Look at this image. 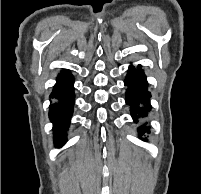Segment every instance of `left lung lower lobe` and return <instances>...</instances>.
Segmentation results:
<instances>
[{
  "label": "left lung lower lobe",
  "instance_id": "1",
  "mask_svg": "<svg viewBox=\"0 0 201 194\" xmlns=\"http://www.w3.org/2000/svg\"><path fill=\"white\" fill-rule=\"evenodd\" d=\"M124 84L128 86L125 98L126 104L130 106L132 118L137 123L138 118L146 117L152 108L149 105L151 94L148 91L147 78L140 65L137 68L132 65L129 66ZM149 129V126L142 125L138 129L139 135L142 136L145 132H149ZM141 139L147 141V138Z\"/></svg>",
  "mask_w": 201,
  "mask_h": 194
}]
</instances>
